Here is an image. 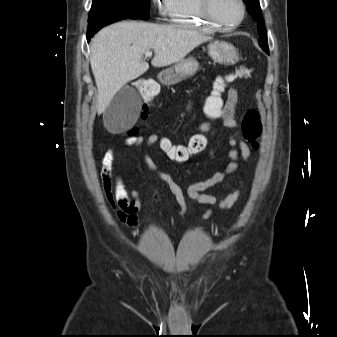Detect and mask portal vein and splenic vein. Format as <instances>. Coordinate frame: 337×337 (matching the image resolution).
I'll use <instances>...</instances> for the list:
<instances>
[{
  "mask_svg": "<svg viewBox=\"0 0 337 337\" xmlns=\"http://www.w3.org/2000/svg\"><path fill=\"white\" fill-rule=\"evenodd\" d=\"M145 56H146V57H151V56H152V52H151V51L145 52Z\"/></svg>",
  "mask_w": 337,
  "mask_h": 337,
  "instance_id": "1",
  "label": "portal vein and splenic vein"
}]
</instances>
